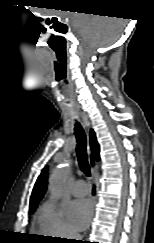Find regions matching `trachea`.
<instances>
[{"mask_svg":"<svg viewBox=\"0 0 154 243\" xmlns=\"http://www.w3.org/2000/svg\"><path fill=\"white\" fill-rule=\"evenodd\" d=\"M75 136L77 139V157L80 169L86 176H90V167L86 152V135L80 123L75 124Z\"/></svg>","mask_w":154,"mask_h":243,"instance_id":"1","label":"trachea"}]
</instances>
